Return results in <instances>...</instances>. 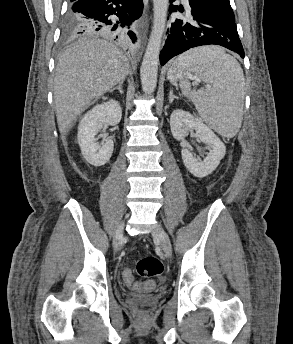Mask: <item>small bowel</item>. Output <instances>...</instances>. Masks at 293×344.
Returning a JSON list of instances; mask_svg holds the SVG:
<instances>
[{
  "instance_id": "obj_1",
  "label": "small bowel",
  "mask_w": 293,
  "mask_h": 344,
  "mask_svg": "<svg viewBox=\"0 0 293 344\" xmlns=\"http://www.w3.org/2000/svg\"><path fill=\"white\" fill-rule=\"evenodd\" d=\"M127 283V282H126ZM128 285L132 286L133 290L137 291V292H143L145 289H144V285L146 284H141V283H127Z\"/></svg>"
}]
</instances>
